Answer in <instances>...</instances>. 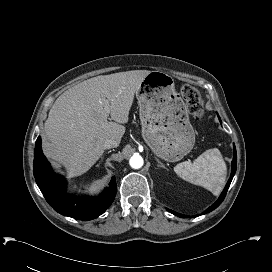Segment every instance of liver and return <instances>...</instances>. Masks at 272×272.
I'll list each match as a JSON object with an SVG mask.
<instances>
[{
  "label": "liver",
  "instance_id": "obj_1",
  "mask_svg": "<svg viewBox=\"0 0 272 272\" xmlns=\"http://www.w3.org/2000/svg\"><path fill=\"white\" fill-rule=\"evenodd\" d=\"M148 70H132L85 80L60 95L44 125L43 152L63 165L69 177L86 173L102 156L104 142L120 143L134 94ZM103 99L109 100V113ZM114 122H109L108 116Z\"/></svg>",
  "mask_w": 272,
  "mask_h": 272
}]
</instances>
